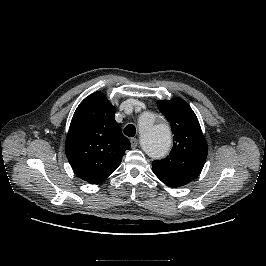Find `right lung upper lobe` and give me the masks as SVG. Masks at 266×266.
I'll use <instances>...</instances> for the list:
<instances>
[{
	"label": "right lung upper lobe",
	"instance_id": "obj_1",
	"mask_svg": "<svg viewBox=\"0 0 266 266\" xmlns=\"http://www.w3.org/2000/svg\"><path fill=\"white\" fill-rule=\"evenodd\" d=\"M115 111L102 93L94 92L73 115L66 137V156L75 174L91 184L112 174L131 147L114 119Z\"/></svg>",
	"mask_w": 266,
	"mask_h": 266
}]
</instances>
